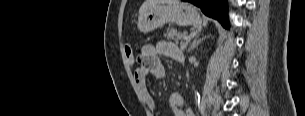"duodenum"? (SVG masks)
Segmentation results:
<instances>
[{
    "label": "duodenum",
    "instance_id": "obj_1",
    "mask_svg": "<svg viewBox=\"0 0 305 116\" xmlns=\"http://www.w3.org/2000/svg\"><path fill=\"white\" fill-rule=\"evenodd\" d=\"M179 60H180L181 62H183V59H182V58H180Z\"/></svg>",
    "mask_w": 305,
    "mask_h": 116
}]
</instances>
